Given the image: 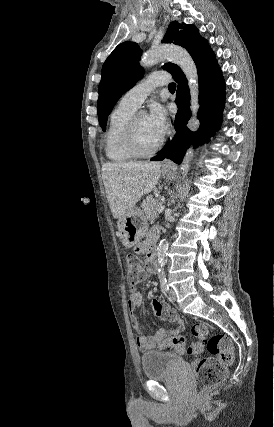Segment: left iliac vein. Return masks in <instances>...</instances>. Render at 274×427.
Wrapping results in <instances>:
<instances>
[{"label": "left iliac vein", "mask_w": 274, "mask_h": 427, "mask_svg": "<svg viewBox=\"0 0 274 427\" xmlns=\"http://www.w3.org/2000/svg\"><path fill=\"white\" fill-rule=\"evenodd\" d=\"M169 298L171 301L175 302L177 300V296L174 290H170Z\"/></svg>", "instance_id": "4c4485c4"}]
</instances>
